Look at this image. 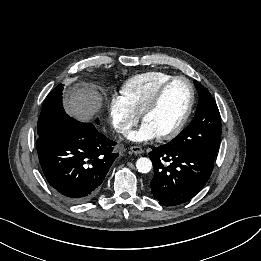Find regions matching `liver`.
I'll return each instance as SVG.
<instances>
[{
  "instance_id": "obj_1",
  "label": "liver",
  "mask_w": 261,
  "mask_h": 261,
  "mask_svg": "<svg viewBox=\"0 0 261 261\" xmlns=\"http://www.w3.org/2000/svg\"><path fill=\"white\" fill-rule=\"evenodd\" d=\"M103 96L93 84L82 83L68 90L64 96V108L72 117L89 121L102 106Z\"/></svg>"
}]
</instances>
